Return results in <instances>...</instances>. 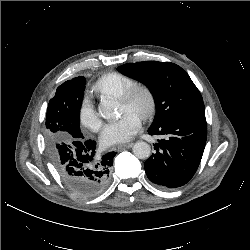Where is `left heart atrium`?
<instances>
[{"mask_svg":"<svg viewBox=\"0 0 250 250\" xmlns=\"http://www.w3.org/2000/svg\"><path fill=\"white\" fill-rule=\"evenodd\" d=\"M140 128V118L132 112H125L118 119L105 125L101 136V144L105 147L130 140Z\"/></svg>","mask_w":250,"mask_h":250,"instance_id":"left-heart-atrium-1","label":"left heart atrium"}]
</instances>
